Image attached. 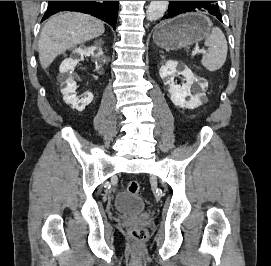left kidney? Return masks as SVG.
I'll return each instance as SVG.
<instances>
[{
	"instance_id": "5707ae66",
	"label": "left kidney",
	"mask_w": 271,
	"mask_h": 266,
	"mask_svg": "<svg viewBox=\"0 0 271 266\" xmlns=\"http://www.w3.org/2000/svg\"><path fill=\"white\" fill-rule=\"evenodd\" d=\"M178 66L179 63L176 61H167L159 70L160 77L163 79L164 84L169 86V93L171 95L170 99L175 106L186 109L197 108L201 105L200 96L202 94H191V88L195 82V76L188 67L184 66L182 68L179 67L178 69ZM177 73L186 78V83H183L182 85L174 83V76ZM203 85H206L205 82L200 83V86ZM187 97H189V100H186Z\"/></svg>"
}]
</instances>
